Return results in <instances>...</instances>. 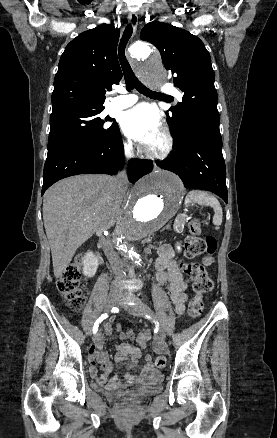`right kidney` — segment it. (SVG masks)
Masks as SVG:
<instances>
[{
  "instance_id": "1",
  "label": "right kidney",
  "mask_w": 277,
  "mask_h": 438,
  "mask_svg": "<svg viewBox=\"0 0 277 438\" xmlns=\"http://www.w3.org/2000/svg\"><path fill=\"white\" fill-rule=\"evenodd\" d=\"M83 274L88 278H93L97 272L98 262L93 252H87L83 258Z\"/></svg>"
}]
</instances>
